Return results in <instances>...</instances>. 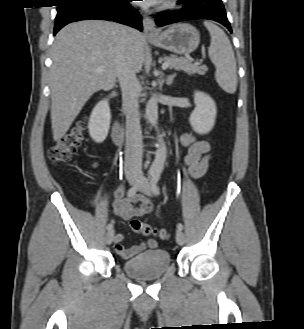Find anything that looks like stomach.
Masks as SVG:
<instances>
[{"label": "stomach", "mask_w": 304, "mask_h": 329, "mask_svg": "<svg viewBox=\"0 0 304 329\" xmlns=\"http://www.w3.org/2000/svg\"><path fill=\"white\" fill-rule=\"evenodd\" d=\"M149 41L176 54H189L198 47L200 35L192 25L176 23L156 37H150Z\"/></svg>", "instance_id": "1"}]
</instances>
